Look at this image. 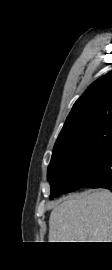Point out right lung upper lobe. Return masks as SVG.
Instances as JSON below:
<instances>
[{"label":"right lung upper lobe","instance_id":"cb5924a9","mask_svg":"<svg viewBox=\"0 0 112 270\" xmlns=\"http://www.w3.org/2000/svg\"><path fill=\"white\" fill-rule=\"evenodd\" d=\"M110 121L112 122V71L92 83L75 102L55 145Z\"/></svg>","mask_w":112,"mask_h":270}]
</instances>
